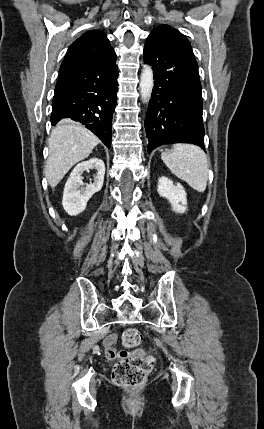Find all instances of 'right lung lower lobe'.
I'll use <instances>...</instances> for the list:
<instances>
[{
	"label": "right lung lower lobe",
	"instance_id": "obj_1",
	"mask_svg": "<svg viewBox=\"0 0 264 429\" xmlns=\"http://www.w3.org/2000/svg\"><path fill=\"white\" fill-rule=\"evenodd\" d=\"M112 49L98 60L58 78L51 124L70 118L85 125L108 147L117 103L118 69Z\"/></svg>",
	"mask_w": 264,
	"mask_h": 429
}]
</instances>
